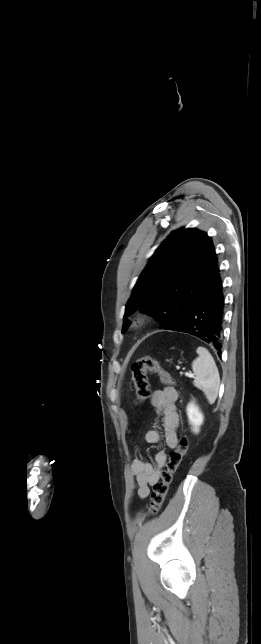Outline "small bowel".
<instances>
[{
    "label": "small bowel",
    "instance_id": "1",
    "mask_svg": "<svg viewBox=\"0 0 261 644\" xmlns=\"http://www.w3.org/2000/svg\"><path fill=\"white\" fill-rule=\"evenodd\" d=\"M177 399L178 392L172 387L155 390L151 396L153 409L162 417L164 440L170 449H174L178 445L180 419L176 408ZM145 439L149 444H157L161 439V434L157 429H151L147 431ZM166 461L167 453L163 450L155 455L154 464L140 459L132 461L133 488L140 499H145L149 496L150 486L159 481L161 470Z\"/></svg>",
    "mask_w": 261,
    "mask_h": 644
}]
</instances>
